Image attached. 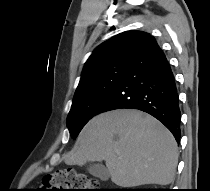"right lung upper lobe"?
<instances>
[{
	"label": "right lung upper lobe",
	"instance_id": "right-lung-upper-lobe-1",
	"mask_svg": "<svg viewBox=\"0 0 210 191\" xmlns=\"http://www.w3.org/2000/svg\"><path fill=\"white\" fill-rule=\"evenodd\" d=\"M150 34L142 31H126L99 45L86 61L79 88L96 69L117 59H130L147 42Z\"/></svg>",
	"mask_w": 210,
	"mask_h": 191
}]
</instances>
